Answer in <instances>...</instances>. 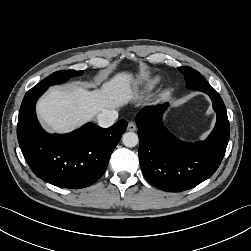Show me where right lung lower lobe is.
Masks as SVG:
<instances>
[{
  "mask_svg": "<svg viewBox=\"0 0 251 251\" xmlns=\"http://www.w3.org/2000/svg\"><path fill=\"white\" fill-rule=\"evenodd\" d=\"M48 87L35 86L22 101L17 137L29 167L42 180L63 188H84L105 172L110 156L127 128L125 120L104 129L87 123L68 134H48L35 112L38 98Z\"/></svg>",
  "mask_w": 251,
  "mask_h": 251,
  "instance_id": "1",
  "label": "right lung lower lobe"
}]
</instances>
